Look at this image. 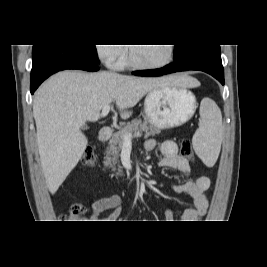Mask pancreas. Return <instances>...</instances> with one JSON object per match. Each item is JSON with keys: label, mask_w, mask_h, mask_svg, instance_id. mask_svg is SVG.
<instances>
[{"label": "pancreas", "mask_w": 267, "mask_h": 267, "mask_svg": "<svg viewBox=\"0 0 267 267\" xmlns=\"http://www.w3.org/2000/svg\"><path fill=\"white\" fill-rule=\"evenodd\" d=\"M142 131L145 132V138H148L149 136H155V134L158 132V129L152 125H148L146 122L142 123L140 120L135 119L123 128L119 129V131L115 132L112 135L109 141V146L106 150L104 166L107 168H112V170L115 171V166L119 163V152L124 144V135L132 133H137L140 135ZM121 172L122 168L119 166L118 173Z\"/></svg>", "instance_id": "pancreas-1"}]
</instances>
